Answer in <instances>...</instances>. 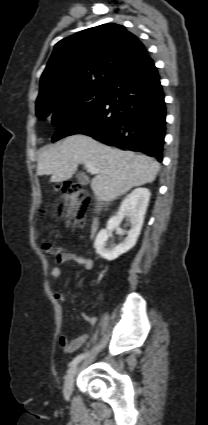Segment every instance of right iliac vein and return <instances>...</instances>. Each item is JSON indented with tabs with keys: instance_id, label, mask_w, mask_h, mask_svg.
Instances as JSON below:
<instances>
[{
	"instance_id": "obj_1",
	"label": "right iliac vein",
	"mask_w": 208,
	"mask_h": 425,
	"mask_svg": "<svg viewBox=\"0 0 208 425\" xmlns=\"http://www.w3.org/2000/svg\"><path fill=\"white\" fill-rule=\"evenodd\" d=\"M77 373V366H74L67 374L64 382V388H63V394L65 399H69L72 391H73V384L75 375Z\"/></svg>"
}]
</instances>
